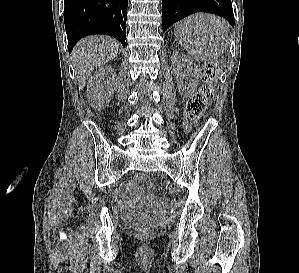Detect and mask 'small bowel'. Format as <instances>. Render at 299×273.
I'll return each mask as SVG.
<instances>
[{"instance_id": "small-bowel-1", "label": "small bowel", "mask_w": 299, "mask_h": 273, "mask_svg": "<svg viewBox=\"0 0 299 273\" xmlns=\"http://www.w3.org/2000/svg\"><path fill=\"white\" fill-rule=\"evenodd\" d=\"M143 200L147 205H149L152 208L155 216H163L164 215L165 205L161 200H159L153 196H147ZM124 209L130 215H134L136 213L131 199H127L125 201Z\"/></svg>"}]
</instances>
